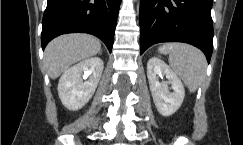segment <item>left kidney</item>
Wrapping results in <instances>:
<instances>
[{"label":"left kidney","instance_id":"left-kidney-1","mask_svg":"<svg viewBox=\"0 0 243 145\" xmlns=\"http://www.w3.org/2000/svg\"><path fill=\"white\" fill-rule=\"evenodd\" d=\"M165 75L166 82L160 83L157 75ZM147 77L153 101L158 112L165 117L174 114L181 106L185 90L181 80L169 66L157 57H152L147 63ZM171 85L173 92H170Z\"/></svg>","mask_w":243,"mask_h":145}]
</instances>
